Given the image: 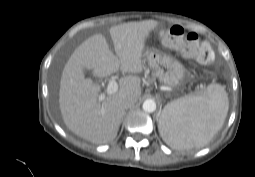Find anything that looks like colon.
Returning <instances> with one entry per match:
<instances>
[{"label": "colon", "instance_id": "1", "mask_svg": "<svg viewBox=\"0 0 255 177\" xmlns=\"http://www.w3.org/2000/svg\"><path fill=\"white\" fill-rule=\"evenodd\" d=\"M164 46L178 51L186 59H194L200 64H210L214 53L206 42L200 43L199 36L194 32L185 33L179 25H174L162 33Z\"/></svg>", "mask_w": 255, "mask_h": 177}]
</instances>
